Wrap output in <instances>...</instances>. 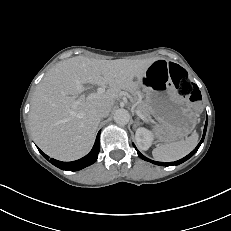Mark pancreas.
<instances>
[{
    "mask_svg": "<svg viewBox=\"0 0 231 231\" xmlns=\"http://www.w3.org/2000/svg\"><path fill=\"white\" fill-rule=\"evenodd\" d=\"M134 104L137 107V110L147 119H151L150 116V109L149 106L146 102H143L142 100H140L138 97H136L134 99Z\"/></svg>",
    "mask_w": 231,
    "mask_h": 231,
    "instance_id": "pancreas-1",
    "label": "pancreas"
}]
</instances>
